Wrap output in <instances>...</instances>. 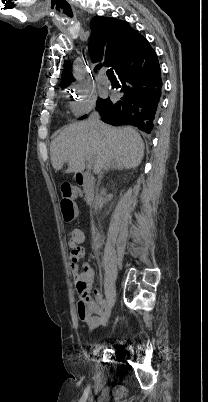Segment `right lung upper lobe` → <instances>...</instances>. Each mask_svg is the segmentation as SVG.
Segmentation results:
<instances>
[{
	"mask_svg": "<svg viewBox=\"0 0 208 402\" xmlns=\"http://www.w3.org/2000/svg\"><path fill=\"white\" fill-rule=\"evenodd\" d=\"M92 35L89 41V51L93 62L105 59L104 65L112 66L117 70L118 60L129 50L138 31L133 30L128 22L114 18L95 16L91 21ZM102 65L96 66L99 69ZM74 81L71 67H65L61 86Z\"/></svg>",
	"mask_w": 208,
	"mask_h": 402,
	"instance_id": "1",
	"label": "right lung upper lobe"
}]
</instances>
